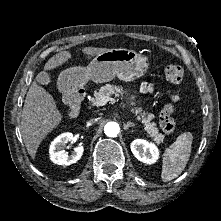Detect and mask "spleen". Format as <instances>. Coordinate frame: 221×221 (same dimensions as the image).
<instances>
[{"mask_svg": "<svg viewBox=\"0 0 221 221\" xmlns=\"http://www.w3.org/2000/svg\"><path fill=\"white\" fill-rule=\"evenodd\" d=\"M192 141V134L184 132L166 148L162 160V181H171L181 174L189 160Z\"/></svg>", "mask_w": 221, "mask_h": 221, "instance_id": "3e777b00", "label": "spleen"}]
</instances>
